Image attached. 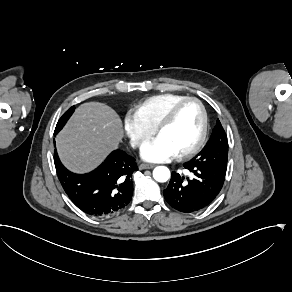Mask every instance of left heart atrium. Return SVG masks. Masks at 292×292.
Returning a JSON list of instances; mask_svg holds the SVG:
<instances>
[{"label": "left heart atrium", "mask_w": 292, "mask_h": 292, "mask_svg": "<svg viewBox=\"0 0 292 292\" xmlns=\"http://www.w3.org/2000/svg\"><path fill=\"white\" fill-rule=\"evenodd\" d=\"M179 150L161 135L150 139L141 149V156L146 161L164 162L179 155Z\"/></svg>", "instance_id": "1"}]
</instances>
